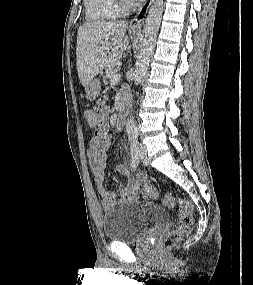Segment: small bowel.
I'll return each mask as SVG.
<instances>
[{"label":"small bowel","instance_id":"small-bowel-1","mask_svg":"<svg viewBox=\"0 0 253 285\" xmlns=\"http://www.w3.org/2000/svg\"><path fill=\"white\" fill-rule=\"evenodd\" d=\"M98 115L101 119V124L91 136L88 148L89 164L96 182V186L100 192L104 194L102 207L109 208L115 201L114 194H105V161L109 148L107 119L109 116V108L102 105L98 108ZM118 173L128 177L125 187L121 191L120 201H136L142 198L146 200H155L158 197V192L155 186L145 177H134L130 175L128 169L124 165L118 167Z\"/></svg>","mask_w":253,"mask_h":285}]
</instances>
